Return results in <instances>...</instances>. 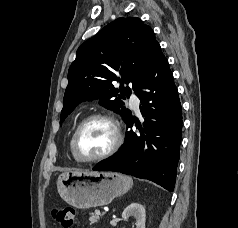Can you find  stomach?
Masks as SVG:
<instances>
[{"instance_id":"0dacf381","label":"stomach","mask_w":238,"mask_h":228,"mask_svg":"<svg viewBox=\"0 0 238 228\" xmlns=\"http://www.w3.org/2000/svg\"><path fill=\"white\" fill-rule=\"evenodd\" d=\"M131 177L115 172L68 171L59 175L57 189L61 198L78 209L104 206L126 193Z\"/></svg>"}]
</instances>
